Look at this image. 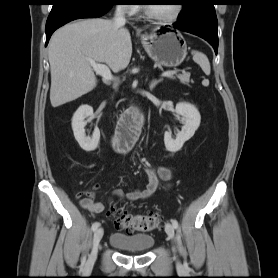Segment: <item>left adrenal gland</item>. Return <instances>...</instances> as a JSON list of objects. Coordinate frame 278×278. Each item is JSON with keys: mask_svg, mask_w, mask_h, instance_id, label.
Listing matches in <instances>:
<instances>
[{"mask_svg": "<svg viewBox=\"0 0 278 278\" xmlns=\"http://www.w3.org/2000/svg\"><path fill=\"white\" fill-rule=\"evenodd\" d=\"M161 81H162L161 79L153 80V81L150 83V85H149L150 90L152 91V90L156 87V85H157L158 83H160Z\"/></svg>", "mask_w": 278, "mask_h": 278, "instance_id": "left-adrenal-gland-1", "label": "left adrenal gland"}]
</instances>
